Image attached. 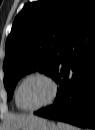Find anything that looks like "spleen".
Returning <instances> with one entry per match:
<instances>
[{
  "mask_svg": "<svg viewBox=\"0 0 95 130\" xmlns=\"http://www.w3.org/2000/svg\"><path fill=\"white\" fill-rule=\"evenodd\" d=\"M57 126L59 130H79L77 127L66 124L64 122H58Z\"/></svg>",
  "mask_w": 95,
  "mask_h": 130,
  "instance_id": "spleen-1",
  "label": "spleen"
}]
</instances>
